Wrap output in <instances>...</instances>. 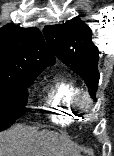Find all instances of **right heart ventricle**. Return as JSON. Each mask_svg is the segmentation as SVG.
I'll return each instance as SVG.
<instances>
[{"label":"right heart ventricle","mask_w":114,"mask_h":156,"mask_svg":"<svg viewBox=\"0 0 114 156\" xmlns=\"http://www.w3.org/2000/svg\"><path fill=\"white\" fill-rule=\"evenodd\" d=\"M78 84L66 75L53 78L46 87L44 107L57 124L71 125L77 117L74 97L80 91Z\"/></svg>","instance_id":"1"}]
</instances>
